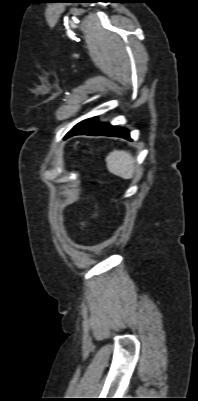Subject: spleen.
<instances>
[{"mask_svg": "<svg viewBox=\"0 0 198 401\" xmlns=\"http://www.w3.org/2000/svg\"><path fill=\"white\" fill-rule=\"evenodd\" d=\"M105 160L110 173L123 179H131L133 177L135 160L129 152L114 150L107 155Z\"/></svg>", "mask_w": 198, "mask_h": 401, "instance_id": "1", "label": "spleen"}]
</instances>
